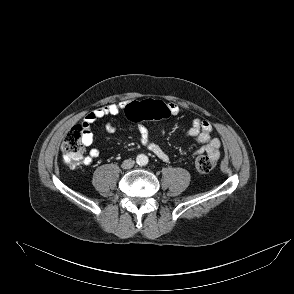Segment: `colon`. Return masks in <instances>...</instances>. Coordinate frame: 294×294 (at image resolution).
<instances>
[{
    "instance_id": "5ec220e1",
    "label": "colon",
    "mask_w": 294,
    "mask_h": 294,
    "mask_svg": "<svg viewBox=\"0 0 294 294\" xmlns=\"http://www.w3.org/2000/svg\"><path fill=\"white\" fill-rule=\"evenodd\" d=\"M124 114L127 119L133 122L161 120L171 115L167 104L159 100L130 102L124 108ZM61 149L64 161L70 167H76L83 162L84 141L81 126H75L67 133ZM195 164L200 173L207 174L214 169L216 159L210 155H200L197 157Z\"/></svg>"
}]
</instances>
